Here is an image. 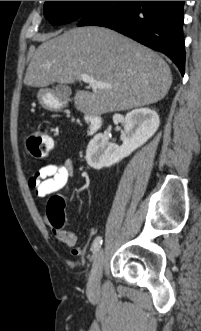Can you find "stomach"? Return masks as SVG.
I'll return each instance as SVG.
<instances>
[{"label":"stomach","instance_id":"stomach-1","mask_svg":"<svg viewBox=\"0 0 201 331\" xmlns=\"http://www.w3.org/2000/svg\"><path fill=\"white\" fill-rule=\"evenodd\" d=\"M37 98L39 103L46 109L58 110L63 107V103L46 89L39 90Z\"/></svg>","mask_w":201,"mask_h":331}]
</instances>
